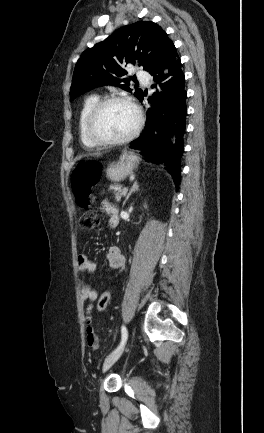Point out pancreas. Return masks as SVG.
I'll return each mask as SVG.
<instances>
[{
	"label": "pancreas",
	"mask_w": 264,
	"mask_h": 433,
	"mask_svg": "<svg viewBox=\"0 0 264 433\" xmlns=\"http://www.w3.org/2000/svg\"><path fill=\"white\" fill-rule=\"evenodd\" d=\"M125 195L123 192L122 186H118L117 189L114 191V197L117 202L121 200V198Z\"/></svg>",
	"instance_id": "1"
}]
</instances>
